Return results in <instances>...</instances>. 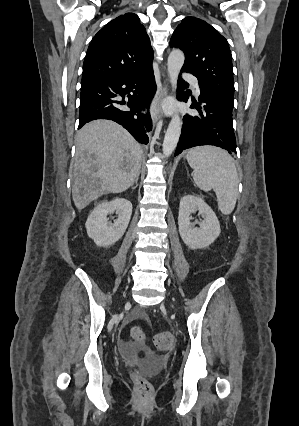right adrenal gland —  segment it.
Returning <instances> with one entry per match:
<instances>
[{
	"instance_id": "obj_1",
	"label": "right adrenal gland",
	"mask_w": 299,
	"mask_h": 426,
	"mask_svg": "<svg viewBox=\"0 0 299 426\" xmlns=\"http://www.w3.org/2000/svg\"><path fill=\"white\" fill-rule=\"evenodd\" d=\"M136 184V186H138V177H136V179L134 180L133 185Z\"/></svg>"
}]
</instances>
